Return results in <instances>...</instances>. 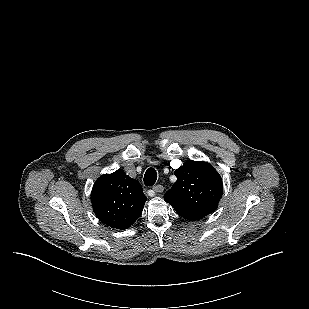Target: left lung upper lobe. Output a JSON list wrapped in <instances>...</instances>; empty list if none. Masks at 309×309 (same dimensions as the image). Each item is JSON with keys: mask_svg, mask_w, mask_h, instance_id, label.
Returning a JSON list of instances; mask_svg holds the SVG:
<instances>
[{"mask_svg": "<svg viewBox=\"0 0 309 309\" xmlns=\"http://www.w3.org/2000/svg\"><path fill=\"white\" fill-rule=\"evenodd\" d=\"M177 181L164 200L190 221L199 220L217 209L223 194L218 172L207 162L188 161L175 170Z\"/></svg>", "mask_w": 309, "mask_h": 309, "instance_id": "5c2ea615", "label": "left lung upper lobe"}]
</instances>
